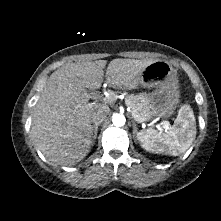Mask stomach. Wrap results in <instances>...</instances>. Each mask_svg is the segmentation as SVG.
I'll use <instances>...</instances> for the list:
<instances>
[{
  "mask_svg": "<svg viewBox=\"0 0 221 221\" xmlns=\"http://www.w3.org/2000/svg\"><path fill=\"white\" fill-rule=\"evenodd\" d=\"M138 84L153 89L146 98L151 118L171 116L180 97L179 80L176 69L164 60H155L141 73Z\"/></svg>",
  "mask_w": 221,
  "mask_h": 221,
  "instance_id": "stomach-1",
  "label": "stomach"
}]
</instances>
